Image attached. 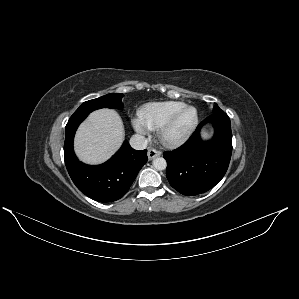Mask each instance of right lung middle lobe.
Masks as SVG:
<instances>
[{"label": "right lung middle lobe", "instance_id": "1", "mask_svg": "<svg viewBox=\"0 0 299 299\" xmlns=\"http://www.w3.org/2000/svg\"><path fill=\"white\" fill-rule=\"evenodd\" d=\"M123 94H107L105 96L84 102L73 115L89 114L92 111L100 108H118L121 109L123 104L121 99Z\"/></svg>", "mask_w": 299, "mask_h": 299}]
</instances>
